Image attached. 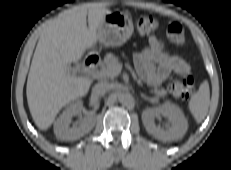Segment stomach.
<instances>
[{"label":"stomach","instance_id":"0dacf381","mask_svg":"<svg viewBox=\"0 0 231 170\" xmlns=\"http://www.w3.org/2000/svg\"><path fill=\"white\" fill-rule=\"evenodd\" d=\"M133 31V23L127 13L111 12L105 15L99 25V42L105 46H121L132 36Z\"/></svg>","mask_w":231,"mask_h":170}]
</instances>
